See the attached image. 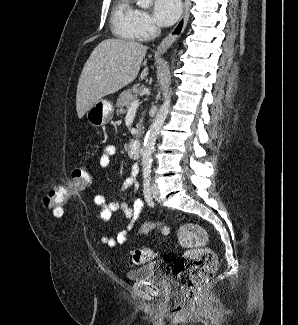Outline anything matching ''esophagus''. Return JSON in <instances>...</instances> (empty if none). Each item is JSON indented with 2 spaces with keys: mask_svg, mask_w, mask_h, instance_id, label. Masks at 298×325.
Instances as JSON below:
<instances>
[{
  "mask_svg": "<svg viewBox=\"0 0 298 325\" xmlns=\"http://www.w3.org/2000/svg\"><path fill=\"white\" fill-rule=\"evenodd\" d=\"M189 10H190V0H184V10L179 18L177 24L173 30L165 37L162 42L157 47V54L162 55L167 51V49L172 45V43L177 40L178 37L183 33L187 22L189 20Z\"/></svg>",
  "mask_w": 298,
  "mask_h": 325,
  "instance_id": "34e87169",
  "label": "esophagus"
}]
</instances>
